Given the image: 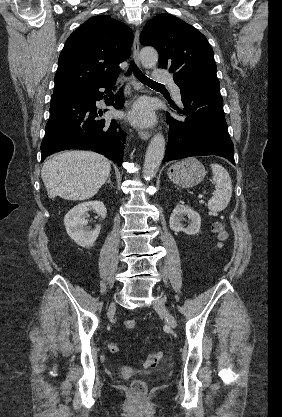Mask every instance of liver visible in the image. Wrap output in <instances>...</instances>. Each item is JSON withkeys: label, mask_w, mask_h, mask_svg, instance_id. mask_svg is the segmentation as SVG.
Listing matches in <instances>:
<instances>
[{"label": "liver", "mask_w": 282, "mask_h": 417, "mask_svg": "<svg viewBox=\"0 0 282 417\" xmlns=\"http://www.w3.org/2000/svg\"><path fill=\"white\" fill-rule=\"evenodd\" d=\"M111 162L91 150H64L46 160L41 168L49 198L85 200L98 192L110 176Z\"/></svg>", "instance_id": "obj_1"}]
</instances>
